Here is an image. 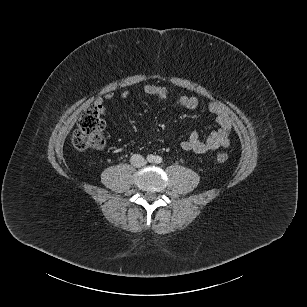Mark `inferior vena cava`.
<instances>
[{"label": "inferior vena cava", "mask_w": 307, "mask_h": 307, "mask_svg": "<svg viewBox=\"0 0 307 307\" xmlns=\"http://www.w3.org/2000/svg\"><path fill=\"white\" fill-rule=\"evenodd\" d=\"M130 162L135 167H141L146 164V160L140 154H133Z\"/></svg>", "instance_id": "602c4592"}]
</instances>
